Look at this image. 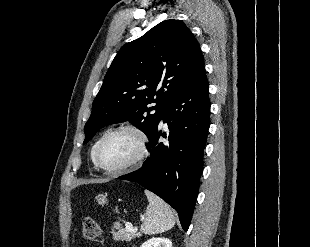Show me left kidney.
I'll return each mask as SVG.
<instances>
[{
	"instance_id": "left-kidney-1",
	"label": "left kidney",
	"mask_w": 310,
	"mask_h": 247,
	"mask_svg": "<svg viewBox=\"0 0 310 247\" xmlns=\"http://www.w3.org/2000/svg\"><path fill=\"white\" fill-rule=\"evenodd\" d=\"M141 247H172V242L168 238H151Z\"/></svg>"
}]
</instances>
